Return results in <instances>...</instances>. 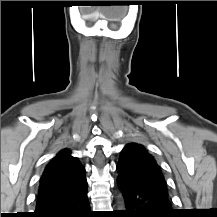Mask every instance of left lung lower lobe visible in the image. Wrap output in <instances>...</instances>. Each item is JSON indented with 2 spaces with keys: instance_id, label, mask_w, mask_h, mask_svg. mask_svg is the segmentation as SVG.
<instances>
[{
  "instance_id": "left-lung-lower-lobe-1",
  "label": "left lung lower lobe",
  "mask_w": 217,
  "mask_h": 217,
  "mask_svg": "<svg viewBox=\"0 0 217 217\" xmlns=\"http://www.w3.org/2000/svg\"><path fill=\"white\" fill-rule=\"evenodd\" d=\"M117 184L124 197L127 210L122 212L125 217H173L169 194L134 186L121 176Z\"/></svg>"
}]
</instances>
